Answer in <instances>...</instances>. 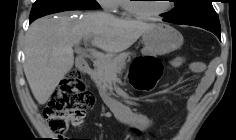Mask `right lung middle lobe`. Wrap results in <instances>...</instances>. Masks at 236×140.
I'll list each match as a JSON object with an SVG mask.
<instances>
[{"label":"right lung middle lobe","instance_id":"obj_1","mask_svg":"<svg viewBox=\"0 0 236 140\" xmlns=\"http://www.w3.org/2000/svg\"><path fill=\"white\" fill-rule=\"evenodd\" d=\"M100 8L96 0H36L33 4L30 19H37L41 16L69 11Z\"/></svg>","mask_w":236,"mask_h":140}]
</instances>
